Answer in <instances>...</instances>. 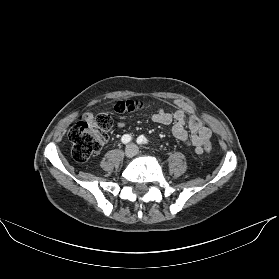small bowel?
Segmentation results:
<instances>
[{
    "label": "small bowel",
    "mask_w": 279,
    "mask_h": 279,
    "mask_svg": "<svg viewBox=\"0 0 279 279\" xmlns=\"http://www.w3.org/2000/svg\"><path fill=\"white\" fill-rule=\"evenodd\" d=\"M173 106L172 110L159 109L152 115V121L163 125L173 123L172 133L174 137L191 147L196 154L203 153L205 143L210 142L211 138L209 128L193 114L192 108L185 101L175 100ZM84 118L92 120L93 115L85 113ZM123 126L122 122L117 124L118 128Z\"/></svg>",
    "instance_id": "1"
}]
</instances>
